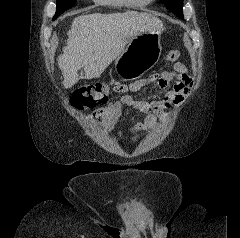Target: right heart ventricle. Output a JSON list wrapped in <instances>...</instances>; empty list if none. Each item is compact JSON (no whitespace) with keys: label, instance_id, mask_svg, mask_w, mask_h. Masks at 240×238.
Masks as SVG:
<instances>
[{"label":"right heart ventricle","instance_id":"e07e8e85","mask_svg":"<svg viewBox=\"0 0 240 238\" xmlns=\"http://www.w3.org/2000/svg\"><path fill=\"white\" fill-rule=\"evenodd\" d=\"M102 5L110 6L113 8H124V7H140L144 6L140 0H135L136 4L134 6L127 5L124 0H94Z\"/></svg>","mask_w":240,"mask_h":238}]
</instances>
